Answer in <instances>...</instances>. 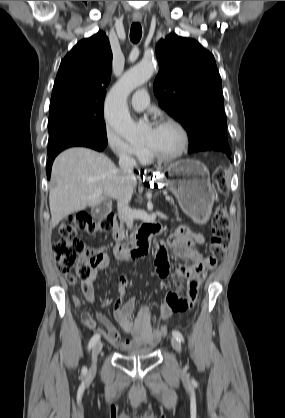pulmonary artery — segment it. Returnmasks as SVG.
Returning <instances> with one entry per match:
<instances>
[{"label": "pulmonary artery", "instance_id": "pulmonary-artery-1", "mask_svg": "<svg viewBox=\"0 0 285 418\" xmlns=\"http://www.w3.org/2000/svg\"><path fill=\"white\" fill-rule=\"evenodd\" d=\"M148 94L145 90L137 91L131 98V106L135 110H143L148 106Z\"/></svg>", "mask_w": 285, "mask_h": 418}]
</instances>
